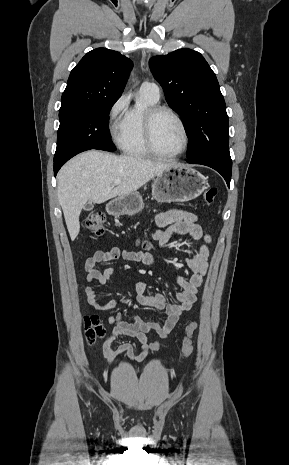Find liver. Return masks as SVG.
I'll use <instances>...</instances> for the list:
<instances>
[{"instance_id": "1", "label": "liver", "mask_w": 289, "mask_h": 465, "mask_svg": "<svg viewBox=\"0 0 289 465\" xmlns=\"http://www.w3.org/2000/svg\"><path fill=\"white\" fill-rule=\"evenodd\" d=\"M172 164L142 157L91 150L72 158L59 171L58 200L72 241L80 231L79 216L88 201L97 204L136 192ZM115 180L121 183L113 188Z\"/></svg>"}]
</instances>
